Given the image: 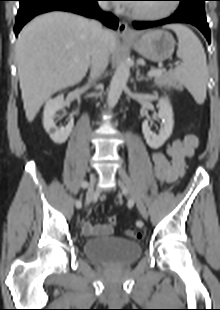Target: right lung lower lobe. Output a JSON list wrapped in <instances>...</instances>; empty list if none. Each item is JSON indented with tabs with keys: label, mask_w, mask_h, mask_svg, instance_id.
Listing matches in <instances>:
<instances>
[{
	"label": "right lung lower lobe",
	"mask_w": 220,
	"mask_h": 310,
	"mask_svg": "<svg viewBox=\"0 0 220 310\" xmlns=\"http://www.w3.org/2000/svg\"><path fill=\"white\" fill-rule=\"evenodd\" d=\"M98 0H19L20 8L15 22V35L33 17L54 10L69 11L86 17L97 18L104 25L117 29L118 19L111 13L102 12Z\"/></svg>",
	"instance_id": "obj_1"
}]
</instances>
